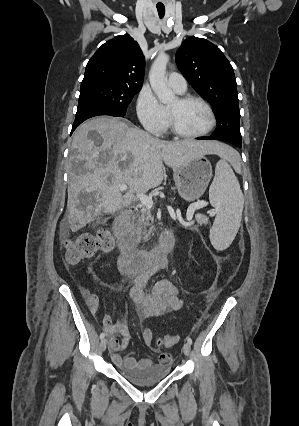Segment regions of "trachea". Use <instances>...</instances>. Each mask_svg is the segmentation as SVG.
Masks as SVG:
<instances>
[{
	"instance_id": "trachea-1",
	"label": "trachea",
	"mask_w": 299,
	"mask_h": 426,
	"mask_svg": "<svg viewBox=\"0 0 299 426\" xmlns=\"http://www.w3.org/2000/svg\"><path fill=\"white\" fill-rule=\"evenodd\" d=\"M157 10H158L159 17L162 19L165 15V8L164 7L163 8H157Z\"/></svg>"
}]
</instances>
